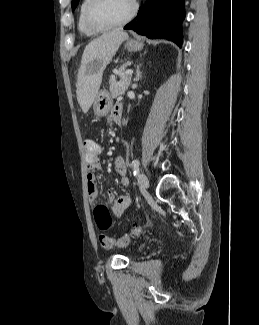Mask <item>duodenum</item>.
<instances>
[{
  "mask_svg": "<svg viewBox=\"0 0 259 325\" xmlns=\"http://www.w3.org/2000/svg\"><path fill=\"white\" fill-rule=\"evenodd\" d=\"M120 123H121V120H120V119H118V120H117V124H120Z\"/></svg>",
  "mask_w": 259,
  "mask_h": 325,
  "instance_id": "1",
  "label": "duodenum"
}]
</instances>
